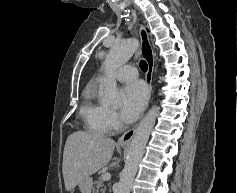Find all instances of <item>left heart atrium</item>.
Returning <instances> with one entry per match:
<instances>
[{
    "mask_svg": "<svg viewBox=\"0 0 237 193\" xmlns=\"http://www.w3.org/2000/svg\"><path fill=\"white\" fill-rule=\"evenodd\" d=\"M148 91L144 83L133 82L124 87L121 113L125 121L135 120L144 109Z\"/></svg>",
    "mask_w": 237,
    "mask_h": 193,
    "instance_id": "1",
    "label": "left heart atrium"
}]
</instances>
